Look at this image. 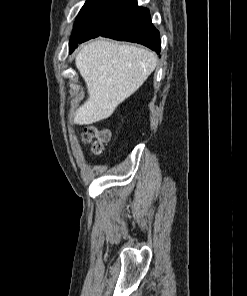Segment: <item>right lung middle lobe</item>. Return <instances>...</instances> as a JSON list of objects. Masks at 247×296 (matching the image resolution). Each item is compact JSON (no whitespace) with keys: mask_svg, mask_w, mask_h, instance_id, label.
Segmentation results:
<instances>
[{"mask_svg":"<svg viewBox=\"0 0 247 296\" xmlns=\"http://www.w3.org/2000/svg\"><path fill=\"white\" fill-rule=\"evenodd\" d=\"M109 2L110 0H87L85 2L74 24L69 42L70 53H72L74 48L78 46V43L82 42L87 36V25L104 10Z\"/></svg>","mask_w":247,"mask_h":296,"instance_id":"obj_1","label":"right lung middle lobe"}]
</instances>
